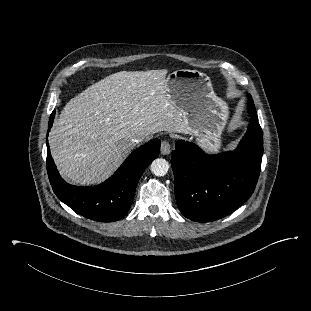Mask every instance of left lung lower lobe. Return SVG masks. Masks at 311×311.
Wrapping results in <instances>:
<instances>
[{"label":"left lung lower lobe","mask_w":311,"mask_h":311,"mask_svg":"<svg viewBox=\"0 0 311 311\" xmlns=\"http://www.w3.org/2000/svg\"><path fill=\"white\" fill-rule=\"evenodd\" d=\"M236 150L208 155L196 144L179 140L172 151L175 197L181 213L196 222L223 218L248 200L257 183L263 132L256 115Z\"/></svg>","instance_id":"0a47b994"}]
</instances>
